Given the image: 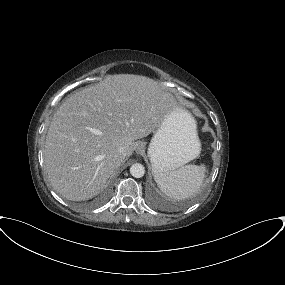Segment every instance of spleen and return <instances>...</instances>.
I'll return each instance as SVG.
<instances>
[{
	"mask_svg": "<svg viewBox=\"0 0 285 285\" xmlns=\"http://www.w3.org/2000/svg\"><path fill=\"white\" fill-rule=\"evenodd\" d=\"M205 165H186L175 171L155 172L154 179L163 193L175 200L198 193L205 178Z\"/></svg>",
	"mask_w": 285,
	"mask_h": 285,
	"instance_id": "1",
	"label": "spleen"
}]
</instances>
